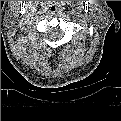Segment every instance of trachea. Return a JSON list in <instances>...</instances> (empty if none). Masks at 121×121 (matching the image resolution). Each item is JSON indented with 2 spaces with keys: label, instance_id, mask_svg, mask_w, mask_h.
<instances>
[{
  "label": "trachea",
  "instance_id": "3493384b",
  "mask_svg": "<svg viewBox=\"0 0 121 121\" xmlns=\"http://www.w3.org/2000/svg\"><path fill=\"white\" fill-rule=\"evenodd\" d=\"M48 10L52 14H56L59 12V6L57 3L53 2L49 5Z\"/></svg>",
  "mask_w": 121,
  "mask_h": 121
}]
</instances>
